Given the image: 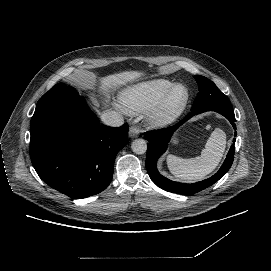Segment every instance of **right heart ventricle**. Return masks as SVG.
I'll return each instance as SVG.
<instances>
[{"instance_id":"obj_1","label":"right heart ventricle","mask_w":271,"mask_h":271,"mask_svg":"<svg viewBox=\"0 0 271 271\" xmlns=\"http://www.w3.org/2000/svg\"><path fill=\"white\" fill-rule=\"evenodd\" d=\"M174 84V81L167 78H156L139 83L122 93L121 106L126 113L132 115L153 109Z\"/></svg>"}]
</instances>
